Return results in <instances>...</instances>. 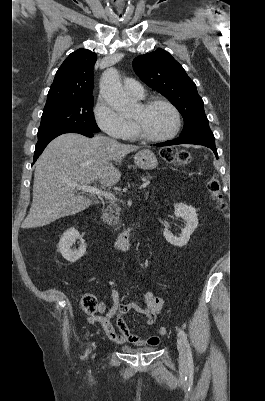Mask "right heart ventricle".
<instances>
[{"label": "right heart ventricle", "instance_id": "1", "mask_svg": "<svg viewBox=\"0 0 265 401\" xmlns=\"http://www.w3.org/2000/svg\"><path fill=\"white\" fill-rule=\"evenodd\" d=\"M142 98V97H141ZM133 125V124H132ZM136 135V132H135V129H134V126H133V129H132V131H131V133L128 135V136H125V137H120V138H118V139H121V140H128V139H131L132 137H134Z\"/></svg>", "mask_w": 265, "mask_h": 401}]
</instances>
